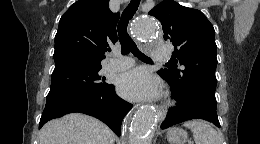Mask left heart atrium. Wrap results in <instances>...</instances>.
Listing matches in <instances>:
<instances>
[{"mask_svg":"<svg viewBox=\"0 0 260 144\" xmlns=\"http://www.w3.org/2000/svg\"><path fill=\"white\" fill-rule=\"evenodd\" d=\"M159 81L145 69L137 68L121 75L118 82L119 93L134 101H145L159 95Z\"/></svg>","mask_w":260,"mask_h":144,"instance_id":"obj_1","label":"left heart atrium"}]
</instances>
